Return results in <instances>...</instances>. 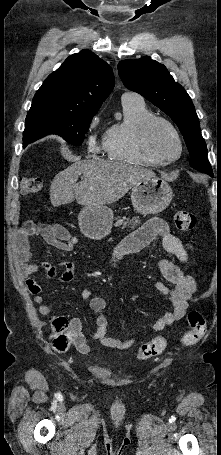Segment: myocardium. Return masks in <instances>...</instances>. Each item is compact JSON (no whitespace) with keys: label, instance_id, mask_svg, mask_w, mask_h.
<instances>
[{"label":"myocardium","instance_id":"f54148a6","mask_svg":"<svg viewBox=\"0 0 221 455\" xmlns=\"http://www.w3.org/2000/svg\"><path fill=\"white\" fill-rule=\"evenodd\" d=\"M157 124L165 125L174 135L178 144V153L173 158H167L159 154L151 144V133ZM138 144L140 148L160 163H172L177 161L183 152V141L180 133L172 122L162 116L152 115L142 122L138 129Z\"/></svg>","mask_w":221,"mask_h":455}]
</instances>
